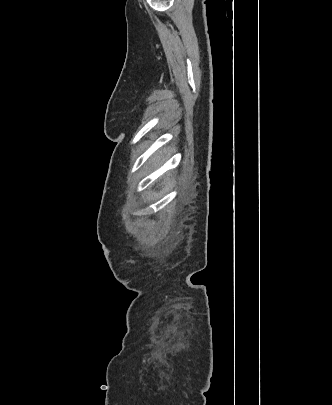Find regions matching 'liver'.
<instances>
[{"label":"liver","mask_w":332,"mask_h":405,"mask_svg":"<svg viewBox=\"0 0 332 405\" xmlns=\"http://www.w3.org/2000/svg\"><path fill=\"white\" fill-rule=\"evenodd\" d=\"M155 159V158H154ZM153 159V160H154ZM156 160L159 162V160H160V154H158L157 156H156Z\"/></svg>","instance_id":"1"}]
</instances>
